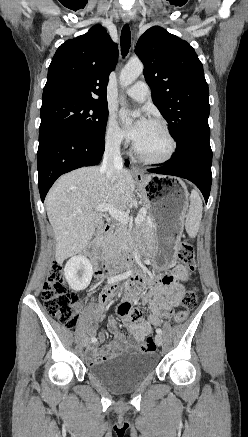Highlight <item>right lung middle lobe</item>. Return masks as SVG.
<instances>
[{"mask_svg":"<svg viewBox=\"0 0 248 437\" xmlns=\"http://www.w3.org/2000/svg\"><path fill=\"white\" fill-rule=\"evenodd\" d=\"M39 130L65 127L96 139H104L107 105L69 96L42 98Z\"/></svg>","mask_w":248,"mask_h":437,"instance_id":"1","label":"right lung middle lobe"}]
</instances>
